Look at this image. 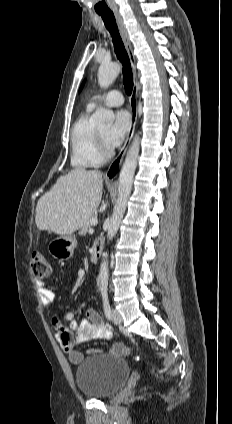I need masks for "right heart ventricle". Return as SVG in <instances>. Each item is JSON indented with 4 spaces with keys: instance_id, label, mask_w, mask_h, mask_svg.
Returning <instances> with one entry per match:
<instances>
[{
    "instance_id": "right-heart-ventricle-1",
    "label": "right heart ventricle",
    "mask_w": 232,
    "mask_h": 424,
    "mask_svg": "<svg viewBox=\"0 0 232 424\" xmlns=\"http://www.w3.org/2000/svg\"><path fill=\"white\" fill-rule=\"evenodd\" d=\"M92 110L87 107L73 126L71 133V165L75 169L101 166L105 159L98 148L96 131L91 120Z\"/></svg>"
}]
</instances>
